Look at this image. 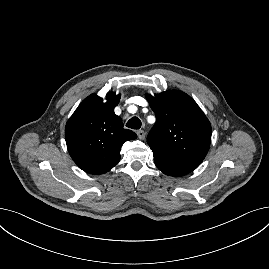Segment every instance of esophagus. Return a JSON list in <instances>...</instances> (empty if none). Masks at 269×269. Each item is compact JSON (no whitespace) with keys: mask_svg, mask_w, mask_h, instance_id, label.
<instances>
[{"mask_svg":"<svg viewBox=\"0 0 269 269\" xmlns=\"http://www.w3.org/2000/svg\"><path fill=\"white\" fill-rule=\"evenodd\" d=\"M137 135L139 139L143 140L145 138V132L143 130H138Z\"/></svg>","mask_w":269,"mask_h":269,"instance_id":"obj_1","label":"esophagus"}]
</instances>
